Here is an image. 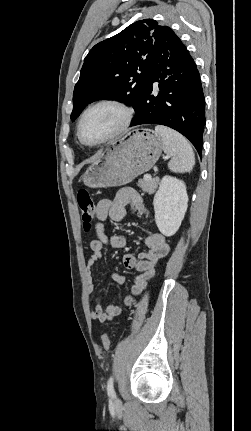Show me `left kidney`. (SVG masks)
Listing matches in <instances>:
<instances>
[{"mask_svg": "<svg viewBox=\"0 0 251 431\" xmlns=\"http://www.w3.org/2000/svg\"><path fill=\"white\" fill-rule=\"evenodd\" d=\"M188 195L182 180L172 176H164L153 199L155 221L159 231L173 236L184 218L187 210Z\"/></svg>", "mask_w": 251, "mask_h": 431, "instance_id": "5707ae66", "label": "left kidney"}]
</instances>
